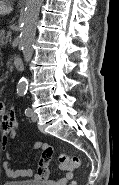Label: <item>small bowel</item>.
Instances as JSON below:
<instances>
[{
	"label": "small bowel",
	"mask_w": 119,
	"mask_h": 185,
	"mask_svg": "<svg viewBox=\"0 0 119 185\" xmlns=\"http://www.w3.org/2000/svg\"><path fill=\"white\" fill-rule=\"evenodd\" d=\"M0 116L2 126V151L5 154V161L2 163V169L6 176L12 179L31 178L36 180H45L47 185H68V182L73 178V169L68 166L61 165L60 169L66 171V174L57 181H49V162L53 154L52 146L45 142H36L33 146L34 151L41 150V157L38 163V169L34 173L30 168V164L24 169L12 168V150L9 143L12 142L16 136L18 129V122L14 117L13 111L7 108L4 102H0Z\"/></svg>",
	"instance_id": "1"
}]
</instances>
